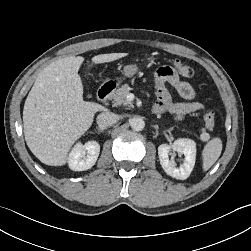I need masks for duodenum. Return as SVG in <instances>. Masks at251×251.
<instances>
[{"mask_svg":"<svg viewBox=\"0 0 251 251\" xmlns=\"http://www.w3.org/2000/svg\"><path fill=\"white\" fill-rule=\"evenodd\" d=\"M115 88H116L115 82L105 83L97 91V99L101 102L106 101L110 97Z\"/></svg>","mask_w":251,"mask_h":251,"instance_id":"obj_1","label":"duodenum"}]
</instances>
